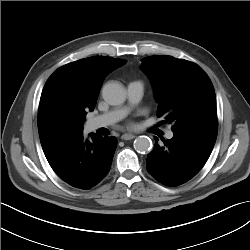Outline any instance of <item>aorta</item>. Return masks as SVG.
Returning <instances> with one entry per match:
<instances>
[{"instance_id":"1","label":"aorta","mask_w":250,"mask_h":250,"mask_svg":"<svg viewBox=\"0 0 250 250\" xmlns=\"http://www.w3.org/2000/svg\"><path fill=\"white\" fill-rule=\"evenodd\" d=\"M102 96L108 104L120 105L125 101L126 92L121 84L111 82L103 86ZM133 146L138 153H147L152 148V141L147 136H139L135 139Z\"/></svg>"}]
</instances>
